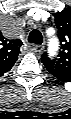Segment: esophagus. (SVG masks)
Returning <instances> with one entry per match:
<instances>
[{
    "label": "esophagus",
    "mask_w": 71,
    "mask_h": 119,
    "mask_svg": "<svg viewBox=\"0 0 71 119\" xmlns=\"http://www.w3.org/2000/svg\"><path fill=\"white\" fill-rule=\"evenodd\" d=\"M43 49H44V45H43V44H36V45H33V46L31 47V50H32L33 52H35V53H40V52L43 51Z\"/></svg>",
    "instance_id": "1"
}]
</instances>
